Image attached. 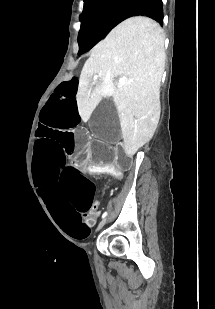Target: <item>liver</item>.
Returning <instances> with one entry per match:
<instances>
[{
	"mask_svg": "<svg viewBox=\"0 0 215 309\" xmlns=\"http://www.w3.org/2000/svg\"><path fill=\"white\" fill-rule=\"evenodd\" d=\"M164 38L159 22L148 16H131L93 46L81 70L76 100L82 120H89L102 96H113L127 157H133L150 140L158 124ZM93 74L100 80L94 88ZM115 76H126L125 84L116 86Z\"/></svg>",
	"mask_w": 215,
	"mask_h": 309,
	"instance_id": "1",
	"label": "liver"
}]
</instances>
